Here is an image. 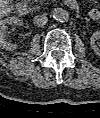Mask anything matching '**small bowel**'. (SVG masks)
I'll list each match as a JSON object with an SVG mask.
<instances>
[{
  "instance_id": "obj_1",
  "label": "small bowel",
  "mask_w": 100,
  "mask_h": 118,
  "mask_svg": "<svg viewBox=\"0 0 100 118\" xmlns=\"http://www.w3.org/2000/svg\"><path fill=\"white\" fill-rule=\"evenodd\" d=\"M94 12H96V13L98 14V17H99V11L96 10V9H94V10L91 11V16H92L93 18H98V17H95V16L93 15Z\"/></svg>"
}]
</instances>
